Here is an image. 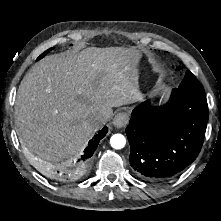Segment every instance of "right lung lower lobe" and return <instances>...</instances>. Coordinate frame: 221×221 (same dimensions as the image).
I'll return each instance as SVG.
<instances>
[{"mask_svg":"<svg viewBox=\"0 0 221 221\" xmlns=\"http://www.w3.org/2000/svg\"><path fill=\"white\" fill-rule=\"evenodd\" d=\"M107 132L108 128L104 126V128L89 141V145L84 150L83 155L72 164L62 167L43 166L42 172L52 179L60 182H69L80 178L87 170L90 158L95 152L98 143Z\"/></svg>","mask_w":221,"mask_h":221,"instance_id":"98d812e1","label":"right lung lower lobe"}]
</instances>
